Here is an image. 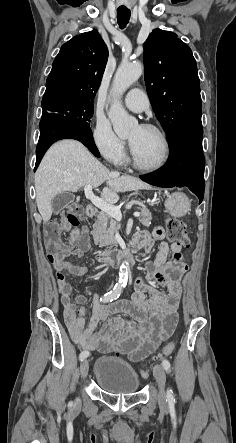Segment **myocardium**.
<instances>
[{
  "instance_id": "f54148a6",
  "label": "myocardium",
  "mask_w": 236,
  "mask_h": 443,
  "mask_svg": "<svg viewBox=\"0 0 236 443\" xmlns=\"http://www.w3.org/2000/svg\"><path fill=\"white\" fill-rule=\"evenodd\" d=\"M141 127L149 129L151 131H154L160 136V138L163 142V145H164V154H163L161 161L158 164L153 165V166H148V165L142 164L138 160L137 156L135 155V153L132 149V146H130L132 164L137 170L145 172V173H154V172L160 171L161 169H163L167 165V163L170 159V156H171L170 140H169L166 132L161 127H159L157 125L145 123V124H142Z\"/></svg>"
}]
</instances>
